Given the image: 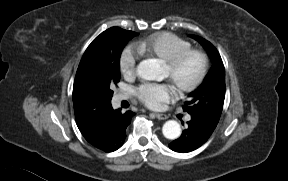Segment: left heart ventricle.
Listing matches in <instances>:
<instances>
[{
  "label": "left heart ventricle",
  "mask_w": 288,
  "mask_h": 181,
  "mask_svg": "<svg viewBox=\"0 0 288 181\" xmlns=\"http://www.w3.org/2000/svg\"><path fill=\"white\" fill-rule=\"evenodd\" d=\"M200 61L197 57L191 56L182 65L171 74L167 67H164V76L172 80L178 86L191 82L199 73Z\"/></svg>",
  "instance_id": "obj_1"
}]
</instances>
